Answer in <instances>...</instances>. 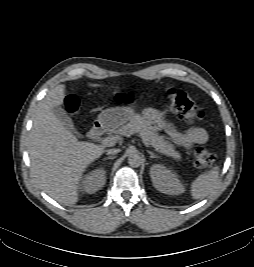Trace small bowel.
I'll use <instances>...</instances> for the list:
<instances>
[{
    "label": "small bowel",
    "mask_w": 254,
    "mask_h": 267,
    "mask_svg": "<svg viewBox=\"0 0 254 267\" xmlns=\"http://www.w3.org/2000/svg\"><path fill=\"white\" fill-rule=\"evenodd\" d=\"M144 116L156 129L163 130L172 142L184 148H191L197 144H204L208 140V133L205 129L192 127L185 132H180L174 126L166 122L162 114L153 108H147L144 111Z\"/></svg>",
    "instance_id": "obj_1"
}]
</instances>
